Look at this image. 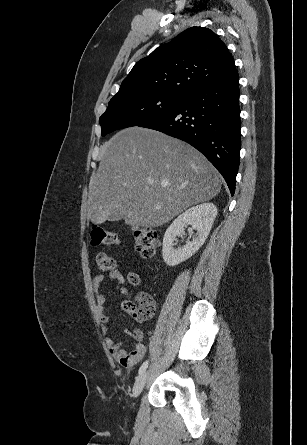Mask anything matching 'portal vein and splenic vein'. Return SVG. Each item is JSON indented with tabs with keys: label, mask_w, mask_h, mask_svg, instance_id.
I'll return each mask as SVG.
<instances>
[{
	"label": "portal vein and splenic vein",
	"mask_w": 307,
	"mask_h": 445,
	"mask_svg": "<svg viewBox=\"0 0 307 445\" xmlns=\"http://www.w3.org/2000/svg\"><path fill=\"white\" fill-rule=\"evenodd\" d=\"M148 182H152V180H148Z\"/></svg>",
	"instance_id": "1"
}]
</instances>
